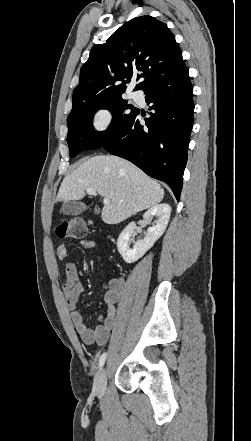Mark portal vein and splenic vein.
<instances>
[{"instance_id": "portal-vein-and-splenic-vein-1", "label": "portal vein and splenic vein", "mask_w": 251, "mask_h": 441, "mask_svg": "<svg viewBox=\"0 0 251 441\" xmlns=\"http://www.w3.org/2000/svg\"><path fill=\"white\" fill-rule=\"evenodd\" d=\"M88 195H95L96 194V190L94 188H89L86 190ZM103 203L105 205L110 203V200L108 198H104Z\"/></svg>"}]
</instances>
